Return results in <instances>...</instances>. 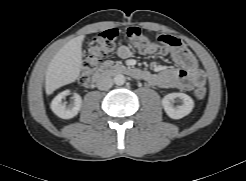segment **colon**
Instances as JSON below:
<instances>
[{
  "mask_svg": "<svg viewBox=\"0 0 246 181\" xmlns=\"http://www.w3.org/2000/svg\"><path fill=\"white\" fill-rule=\"evenodd\" d=\"M119 31L109 29L97 33L90 41L83 62V69L80 75V82L86 83L92 72L97 68L101 60L116 46ZM126 39L133 48L141 54H155L165 51L166 47H180V40L172 36H160L158 41H152L140 28L129 27L124 31ZM207 90L199 86L194 91V96L201 100L206 97Z\"/></svg>",
  "mask_w": 246,
  "mask_h": 181,
  "instance_id": "1",
  "label": "colon"
}]
</instances>
